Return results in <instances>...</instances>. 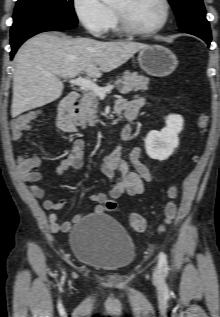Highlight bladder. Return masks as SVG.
<instances>
[{
    "instance_id": "1",
    "label": "bladder",
    "mask_w": 220,
    "mask_h": 317,
    "mask_svg": "<svg viewBox=\"0 0 220 317\" xmlns=\"http://www.w3.org/2000/svg\"><path fill=\"white\" fill-rule=\"evenodd\" d=\"M69 244L80 263L106 271H122L136 258V245L129 233L105 214L79 220L70 232Z\"/></svg>"
}]
</instances>
